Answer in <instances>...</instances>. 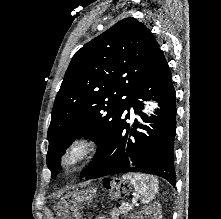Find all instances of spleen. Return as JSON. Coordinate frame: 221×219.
Returning a JSON list of instances; mask_svg holds the SVG:
<instances>
[{
	"label": "spleen",
	"instance_id": "1",
	"mask_svg": "<svg viewBox=\"0 0 221 219\" xmlns=\"http://www.w3.org/2000/svg\"><path fill=\"white\" fill-rule=\"evenodd\" d=\"M123 178L131 181L143 203H148L154 199L158 191V181L156 178L141 174H134L133 176L123 175Z\"/></svg>",
	"mask_w": 221,
	"mask_h": 219
}]
</instances>
